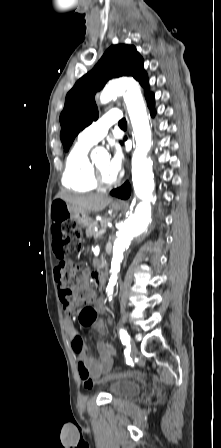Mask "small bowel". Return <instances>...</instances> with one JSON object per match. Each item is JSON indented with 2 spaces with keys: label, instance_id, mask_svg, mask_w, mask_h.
Masks as SVG:
<instances>
[{
  "label": "small bowel",
  "instance_id": "obj_1",
  "mask_svg": "<svg viewBox=\"0 0 221 448\" xmlns=\"http://www.w3.org/2000/svg\"><path fill=\"white\" fill-rule=\"evenodd\" d=\"M57 228L58 222L52 217V249L56 256H58L59 254L56 246L61 242L60 237L55 232V229ZM84 304L92 306L98 313H102L104 311V302L95 298L94 291L88 286L86 279L82 278L80 280V287L77 296L75 297L72 304L64 305V310L70 311L73 307L81 306ZM79 321L83 324L82 312L79 314ZM91 325L94 330L97 331L100 335H104L106 333V326L102 319L97 318ZM64 326L69 337L73 353L75 354L79 362H83L87 366L91 375H93L94 377H99L111 367L113 358L116 355L114 347H112L105 341L100 340L98 346V354L95 355L85 346V344L81 340L78 347L75 346L74 340L77 335L71 319H66L64 322Z\"/></svg>",
  "mask_w": 221,
  "mask_h": 448
}]
</instances>
